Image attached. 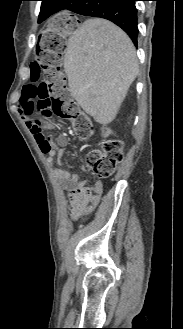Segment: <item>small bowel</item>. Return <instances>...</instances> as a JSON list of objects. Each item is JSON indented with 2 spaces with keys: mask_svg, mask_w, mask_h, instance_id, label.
Here are the masks:
<instances>
[{
  "mask_svg": "<svg viewBox=\"0 0 183 329\" xmlns=\"http://www.w3.org/2000/svg\"><path fill=\"white\" fill-rule=\"evenodd\" d=\"M20 115L36 143L38 144L40 151L47 155V162L52 163L57 156L58 150L65 146L67 141L66 135H59L55 141L48 139L51 144V148L47 152H43L40 147L41 140L46 137L43 132V128L38 122H36L33 116L29 114ZM58 174L61 178L67 179L72 183L70 191L71 202L69 207L72 218H84L93 212L100 202V198L103 192L102 183L96 181L92 188H88L85 186L86 180L80 179L77 174H71L66 170H60Z\"/></svg>",
  "mask_w": 183,
  "mask_h": 329,
  "instance_id": "c3829d8e",
  "label": "small bowel"
}]
</instances>
